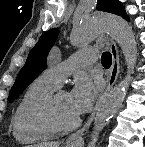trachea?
I'll return each mask as SVG.
<instances>
[{"instance_id": "1", "label": "trachea", "mask_w": 145, "mask_h": 147, "mask_svg": "<svg viewBox=\"0 0 145 147\" xmlns=\"http://www.w3.org/2000/svg\"><path fill=\"white\" fill-rule=\"evenodd\" d=\"M101 62L103 66H110L112 63V55L109 52H104L101 57Z\"/></svg>"}]
</instances>
